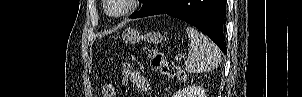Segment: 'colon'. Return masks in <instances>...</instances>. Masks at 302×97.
I'll return each instance as SVG.
<instances>
[{"label": "colon", "instance_id": "colon-1", "mask_svg": "<svg viewBox=\"0 0 302 97\" xmlns=\"http://www.w3.org/2000/svg\"><path fill=\"white\" fill-rule=\"evenodd\" d=\"M148 57L151 63V66L156 71L167 75L169 77H174L179 80L185 79L184 72L174 63L166 61L162 54L153 48H148ZM102 97H115L116 88L112 83H105L102 86Z\"/></svg>", "mask_w": 302, "mask_h": 97}]
</instances>
